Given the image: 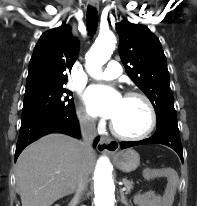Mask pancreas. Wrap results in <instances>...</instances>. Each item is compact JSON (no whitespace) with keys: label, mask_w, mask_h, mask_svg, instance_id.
<instances>
[{"label":"pancreas","mask_w":197,"mask_h":206,"mask_svg":"<svg viewBox=\"0 0 197 206\" xmlns=\"http://www.w3.org/2000/svg\"><path fill=\"white\" fill-rule=\"evenodd\" d=\"M122 181H123V184L125 186L126 193H130L131 189H133V181L132 180H128L126 178H124Z\"/></svg>","instance_id":"obj_1"}]
</instances>
